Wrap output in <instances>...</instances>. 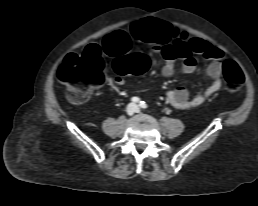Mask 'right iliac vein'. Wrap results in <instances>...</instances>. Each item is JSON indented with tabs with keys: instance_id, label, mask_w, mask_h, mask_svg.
Masks as SVG:
<instances>
[{
	"instance_id": "obj_1",
	"label": "right iliac vein",
	"mask_w": 258,
	"mask_h": 206,
	"mask_svg": "<svg viewBox=\"0 0 258 206\" xmlns=\"http://www.w3.org/2000/svg\"><path fill=\"white\" fill-rule=\"evenodd\" d=\"M135 109H136V108H135L134 105H129V106L127 107V110H126V111H127V114L130 115V116L133 115L134 112H135Z\"/></svg>"
}]
</instances>
